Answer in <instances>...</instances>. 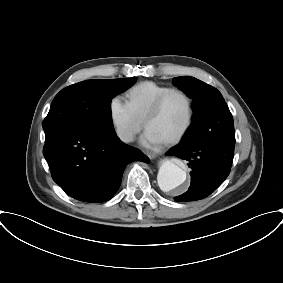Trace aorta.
<instances>
[{
	"instance_id": "1",
	"label": "aorta",
	"mask_w": 283,
	"mask_h": 283,
	"mask_svg": "<svg viewBox=\"0 0 283 283\" xmlns=\"http://www.w3.org/2000/svg\"><path fill=\"white\" fill-rule=\"evenodd\" d=\"M186 170L170 160H163L159 164L157 182L164 192L179 189L186 181Z\"/></svg>"
}]
</instances>
